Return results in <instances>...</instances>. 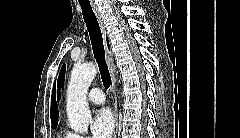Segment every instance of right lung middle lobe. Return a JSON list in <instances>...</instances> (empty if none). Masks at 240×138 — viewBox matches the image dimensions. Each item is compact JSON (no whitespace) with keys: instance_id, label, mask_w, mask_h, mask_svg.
I'll list each match as a JSON object with an SVG mask.
<instances>
[{"instance_id":"1","label":"right lung middle lobe","mask_w":240,"mask_h":138,"mask_svg":"<svg viewBox=\"0 0 240 138\" xmlns=\"http://www.w3.org/2000/svg\"><path fill=\"white\" fill-rule=\"evenodd\" d=\"M57 125H53L52 127L55 128Z\"/></svg>"}]
</instances>
